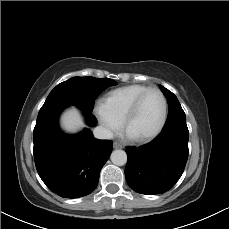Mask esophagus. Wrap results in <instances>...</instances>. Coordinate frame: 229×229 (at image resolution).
I'll return each instance as SVG.
<instances>
[{
    "instance_id": "esophagus-1",
    "label": "esophagus",
    "mask_w": 229,
    "mask_h": 229,
    "mask_svg": "<svg viewBox=\"0 0 229 229\" xmlns=\"http://www.w3.org/2000/svg\"><path fill=\"white\" fill-rule=\"evenodd\" d=\"M123 146L120 144V143H118V142H114L113 143V148L114 149H121Z\"/></svg>"
}]
</instances>
